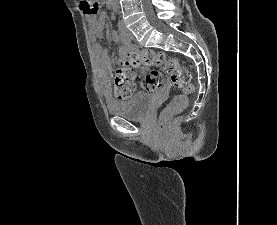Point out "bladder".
<instances>
[{"label":"bladder","mask_w":277,"mask_h":225,"mask_svg":"<svg viewBox=\"0 0 277 225\" xmlns=\"http://www.w3.org/2000/svg\"><path fill=\"white\" fill-rule=\"evenodd\" d=\"M107 108L111 115L128 120H143L153 108V96L148 92H136L125 101L109 103Z\"/></svg>","instance_id":"31cf9c89"}]
</instances>
